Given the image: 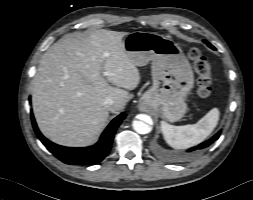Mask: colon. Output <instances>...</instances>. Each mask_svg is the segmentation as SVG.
Instances as JSON below:
<instances>
[{
    "mask_svg": "<svg viewBox=\"0 0 253 200\" xmlns=\"http://www.w3.org/2000/svg\"><path fill=\"white\" fill-rule=\"evenodd\" d=\"M189 58L193 62L194 69L198 74V94L202 99H206L211 95L213 89L211 63L197 48L189 50Z\"/></svg>",
    "mask_w": 253,
    "mask_h": 200,
    "instance_id": "colon-1",
    "label": "colon"
}]
</instances>
